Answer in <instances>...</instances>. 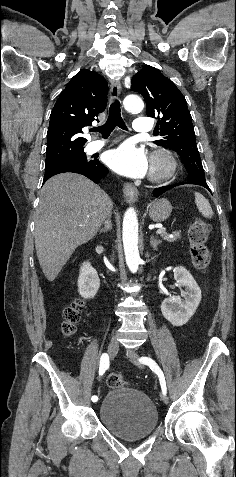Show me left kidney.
<instances>
[{
	"instance_id": "obj_1",
	"label": "left kidney",
	"mask_w": 236,
	"mask_h": 477,
	"mask_svg": "<svg viewBox=\"0 0 236 477\" xmlns=\"http://www.w3.org/2000/svg\"><path fill=\"white\" fill-rule=\"evenodd\" d=\"M173 272L175 280L185 287V292H182L184 300L179 296L164 299L161 312L172 325L182 326L194 315L201 301V290L193 276L184 267H176Z\"/></svg>"
}]
</instances>
